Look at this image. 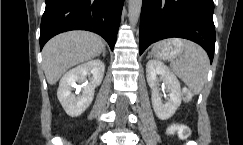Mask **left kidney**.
Returning a JSON list of instances; mask_svg holds the SVG:
<instances>
[{"label": "left kidney", "mask_w": 243, "mask_h": 145, "mask_svg": "<svg viewBox=\"0 0 243 145\" xmlns=\"http://www.w3.org/2000/svg\"><path fill=\"white\" fill-rule=\"evenodd\" d=\"M157 76H160L158 78ZM146 77L152 89V105L155 114L161 120L169 119L181 104V86L170 69L158 60H149L146 65ZM162 80L169 91V99L163 103L159 96L158 84Z\"/></svg>", "instance_id": "1"}]
</instances>
